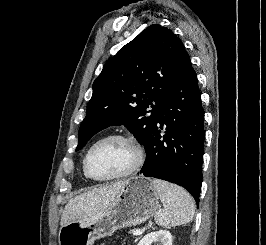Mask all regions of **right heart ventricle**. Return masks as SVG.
Listing matches in <instances>:
<instances>
[{
    "instance_id": "1",
    "label": "right heart ventricle",
    "mask_w": 266,
    "mask_h": 245,
    "mask_svg": "<svg viewBox=\"0 0 266 245\" xmlns=\"http://www.w3.org/2000/svg\"><path fill=\"white\" fill-rule=\"evenodd\" d=\"M82 174H83V176H84L85 179L90 180V178L86 175V173L84 171L83 162H82Z\"/></svg>"
}]
</instances>
